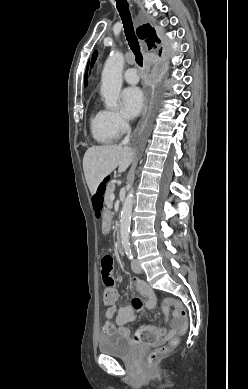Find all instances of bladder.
<instances>
[{"label":"bladder","instance_id":"1","mask_svg":"<svg viewBox=\"0 0 248 389\" xmlns=\"http://www.w3.org/2000/svg\"><path fill=\"white\" fill-rule=\"evenodd\" d=\"M98 349L103 355L130 359L135 354L137 345L124 336L112 333L100 340Z\"/></svg>","mask_w":248,"mask_h":389}]
</instances>
